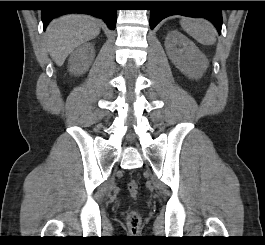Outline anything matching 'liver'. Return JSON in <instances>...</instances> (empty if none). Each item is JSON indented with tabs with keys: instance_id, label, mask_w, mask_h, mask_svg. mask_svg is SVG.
Returning a JSON list of instances; mask_svg holds the SVG:
<instances>
[{
	"instance_id": "liver-1",
	"label": "liver",
	"mask_w": 265,
	"mask_h": 245,
	"mask_svg": "<svg viewBox=\"0 0 265 245\" xmlns=\"http://www.w3.org/2000/svg\"><path fill=\"white\" fill-rule=\"evenodd\" d=\"M100 33V21L88 15L69 14L54 19L47 28L48 52L58 66L69 54Z\"/></svg>"
}]
</instances>
